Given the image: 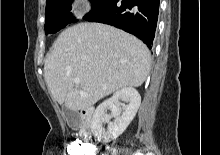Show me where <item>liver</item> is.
Returning a JSON list of instances; mask_svg holds the SVG:
<instances>
[{
	"instance_id": "1",
	"label": "liver",
	"mask_w": 220,
	"mask_h": 155,
	"mask_svg": "<svg viewBox=\"0 0 220 155\" xmlns=\"http://www.w3.org/2000/svg\"><path fill=\"white\" fill-rule=\"evenodd\" d=\"M150 63V51L136 37L105 24L79 23L54 42L44 77L53 98L77 112L122 88L141 86Z\"/></svg>"
}]
</instances>
